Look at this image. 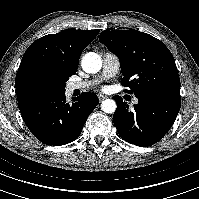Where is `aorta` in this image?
Segmentation results:
<instances>
[{"instance_id": "762f6f07", "label": "aorta", "mask_w": 199, "mask_h": 199, "mask_svg": "<svg viewBox=\"0 0 199 199\" xmlns=\"http://www.w3.org/2000/svg\"><path fill=\"white\" fill-rule=\"evenodd\" d=\"M82 69L87 73H97L102 67L100 56L94 52L85 54L82 59ZM116 102L112 99H106L101 104V109L105 113H114L116 110Z\"/></svg>"}]
</instances>
